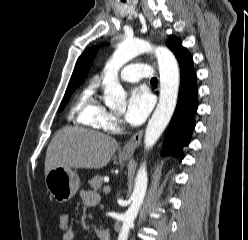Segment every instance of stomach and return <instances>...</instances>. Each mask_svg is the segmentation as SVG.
<instances>
[{
  "instance_id": "0dacf381",
  "label": "stomach",
  "mask_w": 248,
  "mask_h": 240,
  "mask_svg": "<svg viewBox=\"0 0 248 240\" xmlns=\"http://www.w3.org/2000/svg\"><path fill=\"white\" fill-rule=\"evenodd\" d=\"M123 160H129L131 155H124ZM45 184L54 199L63 203L69 201L80 187V179L76 172L64 167H57L45 176Z\"/></svg>"
}]
</instances>
